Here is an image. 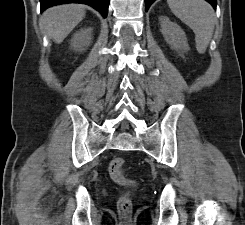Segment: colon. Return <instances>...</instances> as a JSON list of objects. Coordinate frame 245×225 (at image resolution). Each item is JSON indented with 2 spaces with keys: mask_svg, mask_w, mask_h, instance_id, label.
Here are the masks:
<instances>
[{
  "mask_svg": "<svg viewBox=\"0 0 245 225\" xmlns=\"http://www.w3.org/2000/svg\"><path fill=\"white\" fill-rule=\"evenodd\" d=\"M108 173L115 183L126 188L118 200V210L128 217L132 213V192L137 188V183L126 175V161L122 157L110 161Z\"/></svg>",
  "mask_w": 245,
  "mask_h": 225,
  "instance_id": "1",
  "label": "colon"
}]
</instances>
